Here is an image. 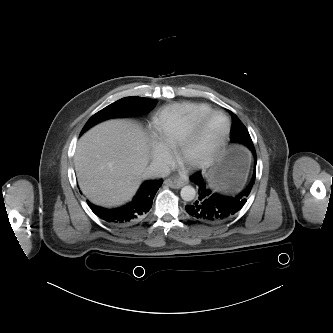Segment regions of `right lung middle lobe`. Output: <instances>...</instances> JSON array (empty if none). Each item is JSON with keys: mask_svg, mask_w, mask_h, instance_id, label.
<instances>
[{"mask_svg": "<svg viewBox=\"0 0 333 333\" xmlns=\"http://www.w3.org/2000/svg\"><path fill=\"white\" fill-rule=\"evenodd\" d=\"M156 103V100L149 98L135 96L122 98L93 115L84 126L81 134L96 123L109 118L146 114L155 107Z\"/></svg>", "mask_w": 333, "mask_h": 333, "instance_id": "right-lung-middle-lobe-1", "label": "right lung middle lobe"}]
</instances>
